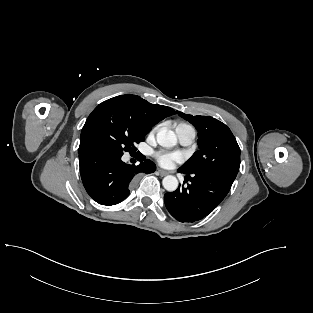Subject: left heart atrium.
<instances>
[{
    "instance_id": "39dd6f15",
    "label": "left heart atrium",
    "mask_w": 313,
    "mask_h": 313,
    "mask_svg": "<svg viewBox=\"0 0 313 313\" xmlns=\"http://www.w3.org/2000/svg\"><path fill=\"white\" fill-rule=\"evenodd\" d=\"M156 159L158 163L166 168L172 167L175 163L182 162L184 156L180 152H166V151H159L156 153Z\"/></svg>"
}]
</instances>
